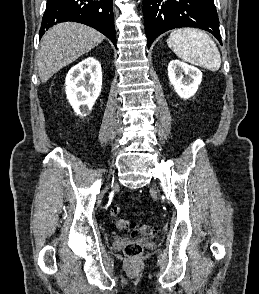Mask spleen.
I'll list each match as a JSON object with an SVG mask.
<instances>
[{
    "label": "spleen",
    "mask_w": 259,
    "mask_h": 294,
    "mask_svg": "<svg viewBox=\"0 0 259 294\" xmlns=\"http://www.w3.org/2000/svg\"><path fill=\"white\" fill-rule=\"evenodd\" d=\"M167 45L182 60L217 71L221 55L214 41L206 33L192 28L176 29L167 39Z\"/></svg>",
    "instance_id": "obj_1"
}]
</instances>
